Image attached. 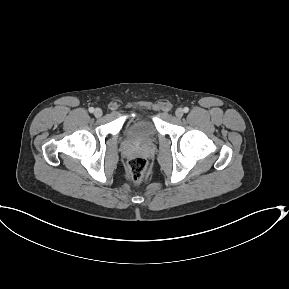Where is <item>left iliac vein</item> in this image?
Instances as JSON below:
<instances>
[{"label": "left iliac vein", "instance_id": "obj_1", "mask_svg": "<svg viewBox=\"0 0 289 289\" xmlns=\"http://www.w3.org/2000/svg\"><path fill=\"white\" fill-rule=\"evenodd\" d=\"M183 114H184V111H183L182 108H178V109L175 111V115H176V117H178V118H181V117L183 116Z\"/></svg>", "mask_w": 289, "mask_h": 289}]
</instances>
